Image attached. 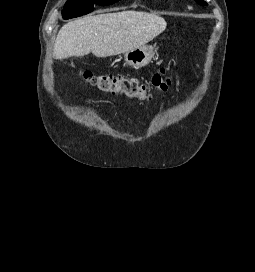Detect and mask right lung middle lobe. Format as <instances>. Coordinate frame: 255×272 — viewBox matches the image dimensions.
<instances>
[{"instance_id":"1","label":"right lung middle lobe","mask_w":255,"mask_h":272,"mask_svg":"<svg viewBox=\"0 0 255 272\" xmlns=\"http://www.w3.org/2000/svg\"><path fill=\"white\" fill-rule=\"evenodd\" d=\"M119 0H68L63 9V18L71 19L90 13L94 3L102 6L110 5Z\"/></svg>"}]
</instances>
